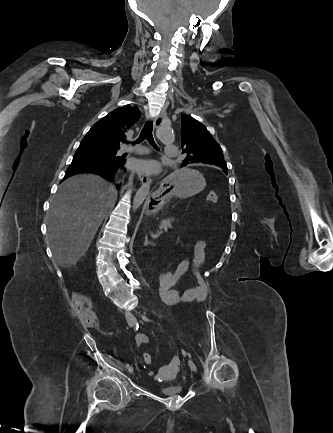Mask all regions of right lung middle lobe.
Listing matches in <instances>:
<instances>
[{"label":"right lung middle lobe","instance_id":"dd1d6c3e","mask_svg":"<svg viewBox=\"0 0 333 433\" xmlns=\"http://www.w3.org/2000/svg\"><path fill=\"white\" fill-rule=\"evenodd\" d=\"M117 151L115 150H105L100 149L97 147H94L92 145H89L87 143L80 144L78 150L76 151L75 155L76 157H90V158H96V159H118L119 157L116 156Z\"/></svg>","mask_w":333,"mask_h":433}]
</instances>
